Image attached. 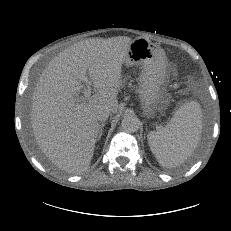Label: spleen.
<instances>
[{
    "instance_id": "3e777b00",
    "label": "spleen",
    "mask_w": 231,
    "mask_h": 231,
    "mask_svg": "<svg viewBox=\"0 0 231 231\" xmlns=\"http://www.w3.org/2000/svg\"><path fill=\"white\" fill-rule=\"evenodd\" d=\"M202 133L200 105L191 101L183 104L165 126L151 131L148 144L162 167L172 168L182 164L192 155Z\"/></svg>"
}]
</instances>
